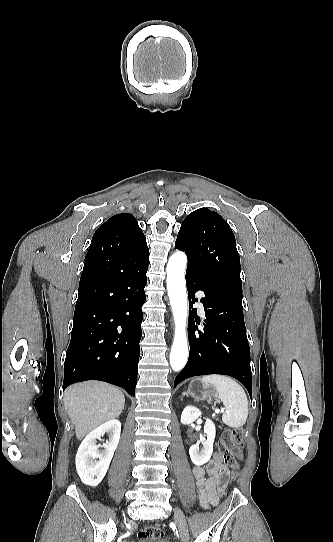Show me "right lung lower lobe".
<instances>
[{
  "mask_svg": "<svg viewBox=\"0 0 333 542\" xmlns=\"http://www.w3.org/2000/svg\"><path fill=\"white\" fill-rule=\"evenodd\" d=\"M148 265L146 244L87 253L63 390L76 382L101 380L135 396Z\"/></svg>",
  "mask_w": 333,
  "mask_h": 542,
  "instance_id": "right-lung-lower-lobe-1",
  "label": "right lung lower lobe"
}]
</instances>
